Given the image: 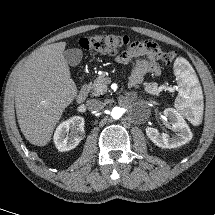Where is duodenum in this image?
Wrapping results in <instances>:
<instances>
[{"label":"duodenum","mask_w":215,"mask_h":215,"mask_svg":"<svg viewBox=\"0 0 215 215\" xmlns=\"http://www.w3.org/2000/svg\"><path fill=\"white\" fill-rule=\"evenodd\" d=\"M88 92H89V86H88L87 83H85L81 87V89H80V91H79V93L77 95V102L78 103H83L86 100L87 96H88Z\"/></svg>","instance_id":"1"}]
</instances>
